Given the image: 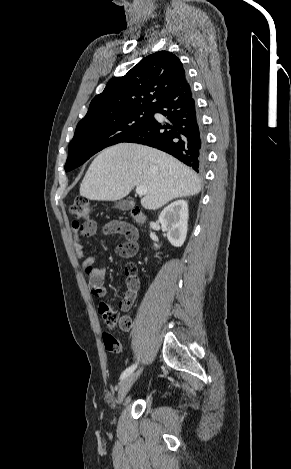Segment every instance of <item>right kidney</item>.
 Returning a JSON list of instances; mask_svg holds the SVG:
<instances>
[{"instance_id":"right-kidney-1","label":"right kidney","mask_w":291,"mask_h":469,"mask_svg":"<svg viewBox=\"0 0 291 469\" xmlns=\"http://www.w3.org/2000/svg\"><path fill=\"white\" fill-rule=\"evenodd\" d=\"M188 217V204L185 200L171 203L159 216L162 231L167 232L169 242L175 247H181L186 239Z\"/></svg>"}]
</instances>
